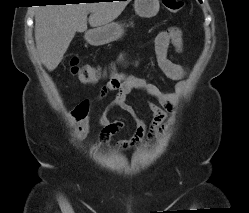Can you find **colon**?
Here are the masks:
<instances>
[{
    "label": "colon",
    "instance_id": "5ec220e1",
    "mask_svg": "<svg viewBox=\"0 0 249 213\" xmlns=\"http://www.w3.org/2000/svg\"><path fill=\"white\" fill-rule=\"evenodd\" d=\"M162 3L171 12H179L183 8L182 0H162ZM70 70L83 83H93L97 79L107 76L106 73L95 66L81 64L77 58L71 59Z\"/></svg>",
    "mask_w": 249,
    "mask_h": 213
}]
</instances>
